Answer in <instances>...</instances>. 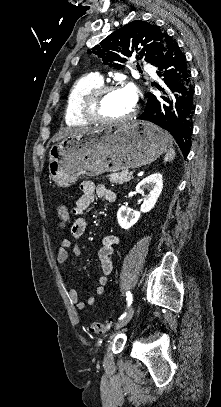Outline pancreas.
I'll return each mask as SVG.
<instances>
[{"label": "pancreas", "instance_id": "cf45deb5", "mask_svg": "<svg viewBox=\"0 0 221 407\" xmlns=\"http://www.w3.org/2000/svg\"><path fill=\"white\" fill-rule=\"evenodd\" d=\"M109 181L111 183L123 184L124 182H129L132 178L128 170H123L122 172L112 173L108 175Z\"/></svg>", "mask_w": 221, "mask_h": 407}]
</instances>
